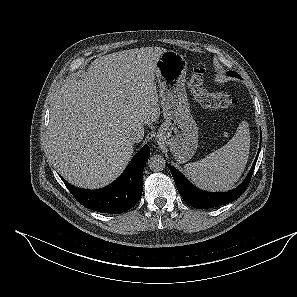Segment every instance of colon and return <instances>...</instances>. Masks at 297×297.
Wrapping results in <instances>:
<instances>
[{"instance_id":"colon-1","label":"colon","mask_w":297,"mask_h":297,"mask_svg":"<svg viewBox=\"0 0 297 297\" xmlns=\"http://www.w3.org/2000/svg\"><path fill=\"white\" fill-rule=\"evenodd\" d=\"M205 68L197 66L190 76V90L195 99L205 108L213 110H227L236 106V99L226 93H212L204 87Z\"/></svg>"}]
</instances>
